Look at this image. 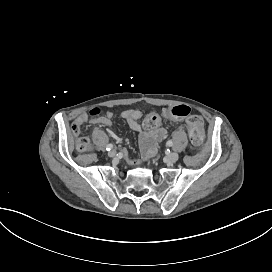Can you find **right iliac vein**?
Segmentation results:
<instances>
[{
  "mask_svg": "<svg viewBox=\"0 0 272 272\" xmlns=\"http://www.w3.org/2000/svg\"><path fill=\"white\" fill-rule=\"evenodd\" d=\"M116 155V151L115 150H111L108 152V156L109 157H114Z\"/></svg>",
  "mask_w": 272,
  "mask_h": 272,
  "instance_id": "obj_1",
  "label": "right iliac vein"
}]
</instances>
